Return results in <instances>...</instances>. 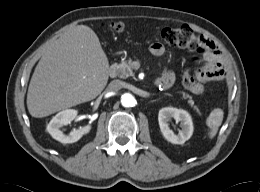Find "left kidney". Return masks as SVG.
Masks as SVG:
<instances>
[{"label":"left kidney","mask_w":260,"mask_h":192,"mask_svg":"<svg viewBox=\"0 0 260 192\" xmlns=\"http://www.w3.org/2000/svg\"><path fill=\"white\" fill-rule=\"evenodd\" d=\"M175 119L180 122L181 130L175 134L169 127V122ZM158 121L163 136L173 144H184L193 134V122L190 114L173 107H165L159 111Z\"/></svg>","instance_id":"1"}]
</instances>
